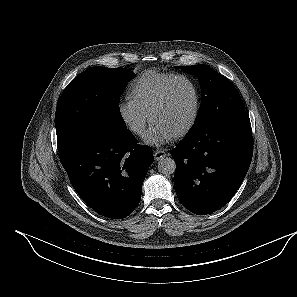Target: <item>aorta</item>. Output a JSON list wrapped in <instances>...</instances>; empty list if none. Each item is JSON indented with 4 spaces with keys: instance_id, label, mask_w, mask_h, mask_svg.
Instances as JSON below:
<instances>
[{
    "instance_id": "1",
    "label": "aorta",
    "mask_w": 297,
    "mask_h": 297,
    "mask_svg": "<svg viewBox=\"0 0 297 297\" xmlns=\"http://www.w3.org/2000/svg\"><path fill=\"white\" fill-rule=\"evenodd\" d=\"M175 161L170 157H161L158 161V171L164 175H170L175 172Z\"/></svg>"
}]
</instances>
